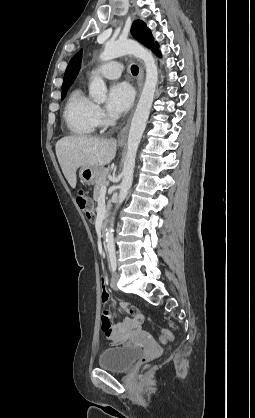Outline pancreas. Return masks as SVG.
Segmentation results:
<instances>
[{"instance_id":"cf45deb5","label":"pancreas","mask_w":255,"mask_h":418,"mask_svg":"<svg viewBox=\"0 0 255 418\" xmlns=\"http://www.w3.org/2000/svg\"><path fill=\"white\" fill-rule=\"evenodd\" d=\"M110 169H104L102 171V173L100 174V176L98 177V179L95 181L94 183V200L97 201L100 194H101V188L103 186H106L108 181H107V177L109 175ZM110 206V202L108 201L107 203V208H109Z\"/></svg>"}]
</instances>
